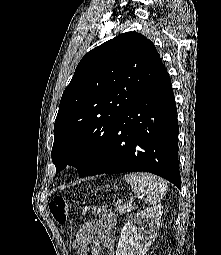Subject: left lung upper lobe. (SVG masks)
<instances>
[{"label": "left lung upper lobe", "mask_w": 221, "mask_h": 255, "mask_svg": "<svg viewBox=\"0 0 221 255\" xmlns=\"http://www.w3.org/2000/svg\"><path fill=\"white\" fill-rule=\"evenodd\" d=\"M154 44L126 32L88 52L66 87L54 125L56 173L68 164L82 176L103 151L118 117L163 69Z\"/></svg>", "instance_id": "obj_1"}]
</instances>
